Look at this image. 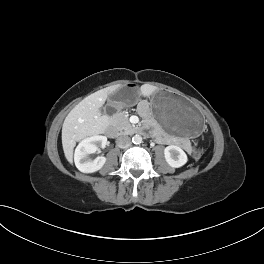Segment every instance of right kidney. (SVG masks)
<instances>
[{
	"label": "right kidney",
	"mask_w": 264,
	"mask_h": 264,
	"mask_svg": "<svg viewBox=\"0 0 264 264\" xmlns=\"http://www.w3.org/2000/svg\"><path fill=\"white\" fill-rule=\"evenodd\" d=\"M107 137L95 135L82 140L75 149L74 162L79 171L94 173L100 170L106 162V157L98 156L92 160L89 155L95 153L99 146H105Z\"/></svg>",
	"instance_id": "ca27d5eb"
}]
</instances>
